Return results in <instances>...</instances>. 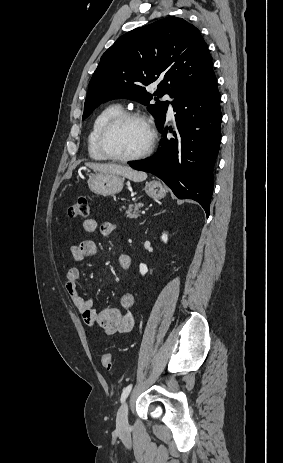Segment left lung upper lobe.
Returning a JSON list of instances; mask_svg holds the SVG:
<instances>
[{
  "label": "left lung upper lobe",
  "mask_w": 283,
  "mask_h": 463,
  "mask_svg": "<svg viewBox=\"0 0 283 463\" xmlns=\"http://www.w3.org/2000/svg\"><path fill=\"white\" fill-rule=\"evenodd\" d=\"M211 68L205 41L198 29L184 19L168 17L136 28L118 38L101 57L89 82L82 119L110 99L128 98L148 105L153 95L175 97ZM157 79L162 81L152 95L143 85ZM167 108L168 101L148 105L157 128L165 121Z\"/></svg>",
  "instance_id": "left-lung-upper-lobe-1"
}]
</instances>
